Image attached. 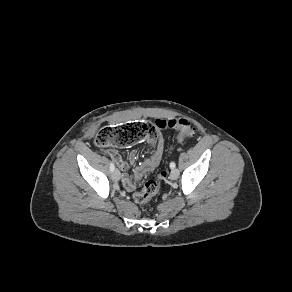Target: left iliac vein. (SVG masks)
<instances>
[{"label":"left iliac vein","mask_w":292,"mask_h":292,"mask_svg":"<svg viewBox=\"0 0 292 292\" xmlns=\"http://www.w3.org/2000/svg\"><path fill=\"white\" fill-rule=\"evenodd\" d=\"M179 176V170L178 169H172L170 172V179L176 180Z\"/></svg>","instance_id":"obj_1"}]
</instances>
